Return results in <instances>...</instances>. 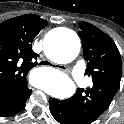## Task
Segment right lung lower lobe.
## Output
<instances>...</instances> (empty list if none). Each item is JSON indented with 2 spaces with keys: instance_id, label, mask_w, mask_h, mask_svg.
<instances>
[{
  "instance_id": "98d812e1",
  "label": "right lung lower lobe",
  "mask_w": 124,
  "mask_h": 124,
  "mask_svg": "<svg viewBox=\"0 0 124 124\" xmlns=\"http://www.w3.org/2000/svg\"><path fill=\"white\" fill-rule=\"evenodd\" d=\"M32 91H28L22 97L8 99L0 102V117H8L17 114L25 107V102L31 95Z\"/></svg>"
}]
</instances>
